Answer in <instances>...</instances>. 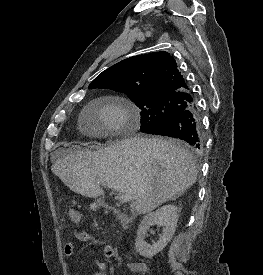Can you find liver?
Here are the masks:
<instances>
[{"mask_svg":"<svg viewBox=\"0 0 263 275\" xmlns=\"http://www.w3.org/2000/svg\"><path fill=\"white\" fill-rule=\"evenodd\" d=\"M51 170L70 190L86 197L102 195L100 184L131 195L133 215L149 213L181 196L198 173L186 149L162 138L141 136L97 151H58Z\"/></svg>","mask_w":263,"mask_h":275,"instance_id":"liver-1","label":"liver"}]
</instances>
